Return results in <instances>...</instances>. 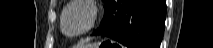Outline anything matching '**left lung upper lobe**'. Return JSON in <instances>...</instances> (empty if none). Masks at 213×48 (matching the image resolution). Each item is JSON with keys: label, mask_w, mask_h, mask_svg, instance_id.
Listing matches in <instances>:
<instances>
[{"label": "left lung upper lobe", "mask_w": 213, "mask_h": 48, "mask_svg": "<svg viewBox=\"0 0 213 48\" xmlns=\"http://www.w3.org/2000/svg\"><path fill=\"white\" fill-rule=\"evenodd\" d=\"M102 1L104 2V8H106L110 0H102Z\"/></svg>", "instance_id": "left-lung-upper-lobe-1"}]
</instances>
